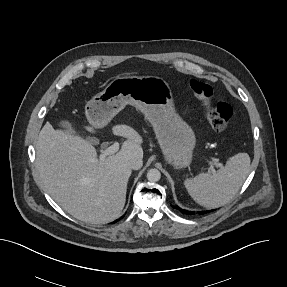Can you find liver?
<instances>
[{
    "label": "liver",
    "instance_id": "6515ba94",
    "mask_svg": "<svg viewBox=\"0 0 287 287\" xmlns=\"http://www.w3.org/2000/svg\"><path fill=\"white\" fill-rule=\"evenodd\" d=\"M87 130L95 133L94 126ZM113 134L127 138L115 155L104 160L81 137L66 135L47 122L36 144V163L49 195L66 212L87 223H108L119 217L125 201L131 158H143V139L120 124Z\"/></svg>",
    "mask_w": 287,
    "mask_h": 287
}]
</instances>
